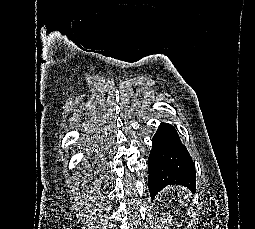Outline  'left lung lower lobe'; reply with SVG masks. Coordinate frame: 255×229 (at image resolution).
<instances>
[{
	"label": "left lung lower lobe",
	"mask_w": 255,
	"mask_h": 229,
	"mask_svg": "<svg viewBox=\"0 0 255 229\" xmlns=\"http://www.w3.org/2000/svg\"><path fill=\"white\" fill-rule=\"evenodd\" d=\"M148 158V185L150 196H154L168 185H182L195 191L196 175L194 163L187 148L181 143L176 129L161 123L152 140Z\"/></svg>",
	"instance_id": "0a47b994"
}]
</instances>
